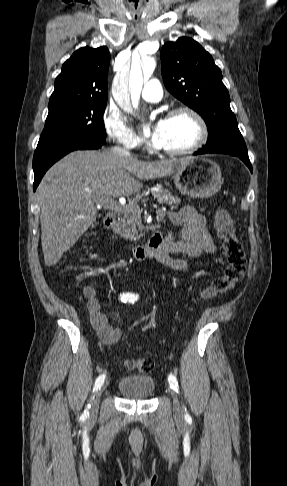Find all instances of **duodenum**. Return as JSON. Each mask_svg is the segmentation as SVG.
Returning a JSON list of instances; mask_svg holds the SVG:
<instances>
[{
  "mask_svg": "<svg viewBox=\"0 0 287 486\" xmlns=\"http://www.w3.org/2000/svg\"><path fill=\"white\" fill-rule=\"evenodd\" d=\"M116 217L113 212L106 214L104 218V227L110 232L115 231ZM163 241V235L160 230H156L149 238L148 242L141 245L125 246V249L129 251L137 260H144L155 255L161 248Z\"/></svg>",
  "mask_w": 287,
  "mask_h": 486,
  "instance_id": "1",
  "label": "duodenum"
}]
</instances>
